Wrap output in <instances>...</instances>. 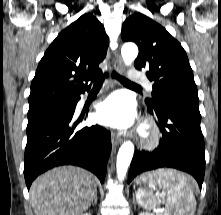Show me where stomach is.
<instances>
[{"instance_id": "obj_1", "label": "stomach", "mask_w": 221, "mask_h": 215, "mask_svg": "<svg viewBox=\"0 0 221 215\" xmlns=\"http://www.w3.org/2000/svg\"><path fill=\"white\" fill-rule=\"evenodd\" d=\"M161 171L162 170H159L157 172H150V173L144 174L143 177L138 178V180H137L138 184L137 185L140 186L139 189H143V190H146V191H151L152 188H153L151 185H155L157 179L160 176Z\"/></svg>"}]
</instances>
